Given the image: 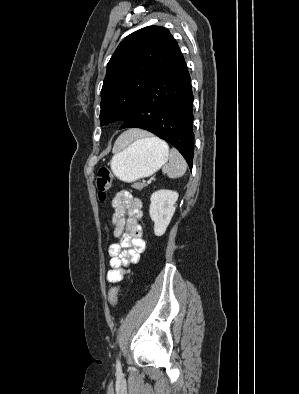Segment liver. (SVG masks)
I'll return each mask as SVG.
<instances>
[{"instance_id":"6515ba94","label":"liver","mask_w":299,"mask_h":394,"mask_svg":"<svg viewBox=\"0 0 299 394\" xmlns=\"http://www.w3.org/2000/svg\"><path fill=\"white\" fill-rule=\"evenodd\" d=\"M148 136V133L138 129H131L121 136V144L126 145L135 139Z\"/></svg>"}]
</instances>
